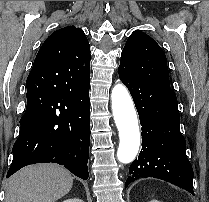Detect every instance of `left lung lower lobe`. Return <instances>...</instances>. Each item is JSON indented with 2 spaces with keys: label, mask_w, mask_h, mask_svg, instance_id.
Segmentation results:
<instances>
[{
  "label": "left lung lower lobe",
  "mask_w": 209,
  "mask_h": 202,
  "mask_svg": "<svg viewBox=\"0 0 209 202\" xmlns=\"http://www.w3.org/2000/svg\"><path fill=\"white\" fill-rule=\"evenodd\" d=\"M118 71L132 95L142 125V149L138 159L130 165L125 187L139 178L154 177L194 195L193 169L186 156V141L180 133L175 92L134 74Z\"/></svg>",
  "instance_id": "left-lung-lower-lobe-1"
}]
</instances>
